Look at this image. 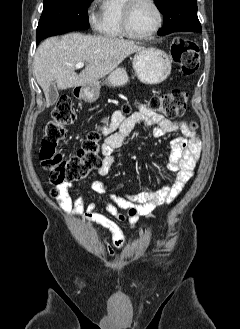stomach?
<instances>
[{"label":"stomach","instance_id":"obj_1","mask_svg":"<svg viewBox=\"0 0 240 329\" xmlns=\"http://www.w3.org/2000/svg\"><path fill=\"white\" fill-rule=\"evenodd\" d=\"M133 68L138 79L149 85H156L163 82L171 72V60L162 50L156 48H142L133 57ZM129 81L128 74L124 68H117L112 71L105 83L111 87L125 85ZM101 89L100 82H93L81 86L80 98L87 102H94L98 99Z\"/></svg>","mask_w":240,"mask_h":329}]
</instances>
